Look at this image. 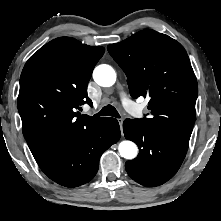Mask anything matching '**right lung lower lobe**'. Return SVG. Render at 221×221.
<instances>
[{"instance_id": "98d812e1", "label": "right lung lower lobe", "mask_w": 221, "mask_h": 221, "mask_svg": "<svg viewBox=\"0 0 221 221\" xmlns=\"http://www.w3.org/2000/svg\"><path fill=\"white\" fill-rule=\"evenodd\" d=\"M114 118H102L87 134L54 156L41 170L56 183L77 187L89 182L97 173L100 156L120 138Z\"/></svg>"}]
</instances>
